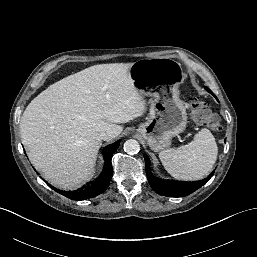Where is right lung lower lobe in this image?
<instances>
[{"label":"right lung lower lobe","instance_id":"obj_1","mask_svg":"<svg viewBox=\"0 0 257 257\" xmlns=\"http://www.w3.org/2000/svg\"><path fill=\"white\" fill-rule=\"evenodd\" d=\"M118 146L119 141L115 142L112 145L106 146L103 149L105 159L104 167L101 174L94 181H90L89 183L75 191L61 192L56 189L54 190L72 200L89 199L103 193L109 186L112 177L111 159L113 152L117 150Z\"/></svg>","mask_w":257,"mask_h":257}]
</instances>
